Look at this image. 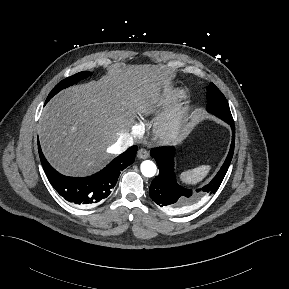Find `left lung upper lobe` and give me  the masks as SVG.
<instances>
[{
  "instance_id": "5c2ea615",
  "label": "left lung upper lobe",
  "mask_w": 289,
  "mask_h": 289,
  "mask_svg": "<svg viewBox=\"0 0 289 289\" xmlns=\"http://www.w3.org/2000/svg\"><path fill=\"white\" fill-rule=\"evenodd\" d=\"M207 111L213 113L222 120H232L230 108L225 96L213 84L207 88Z\"/></svg>"
}]
</instances>
